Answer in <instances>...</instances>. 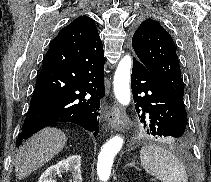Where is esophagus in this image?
I'll list each match as a JSON object with an SVG mask.
<instances>
[{
  "label": "esophagus",
  "instance_id": "esophagus-1",
  "mask_svg": "<svg viewBox=\"0 0 211 182\" xmlns=\"http://www.w3.org/2000/svg\"><path fill=\"white\" fill-rule=\"evenodd\" d=\"M113 110H117V111H121V108L118 106V105H115L114 107H113ZM107 120H108V122H109V124L111 125V126H113V122H112V120H111V118L108 116V118H107Z\"/></svg>",
  "mask_w": 211,
  "mask_h": 182
}]
</instances>
